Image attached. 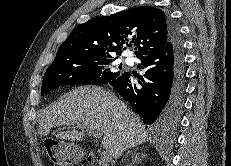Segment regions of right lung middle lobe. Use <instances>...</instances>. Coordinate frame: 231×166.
I'll return each mask as SVG.
<instances>
[{"label":"right lung middle lobe","mask_w":231,"mask_h":166,"mask_svg":"<svg viewBox=\"0 0 231 166\" xmlns=\"http://www.w3.org/2000/svg\"><path fill=\"white\" fill-rule=\"evenodd\" d=\"M115 59L98 54L56 58L44 74L41 94L63 85L107 83L123 73L121 65H113Z\"/></svg>","instance_id":"right-lung-middle-lobe-1"}]
</instances>
